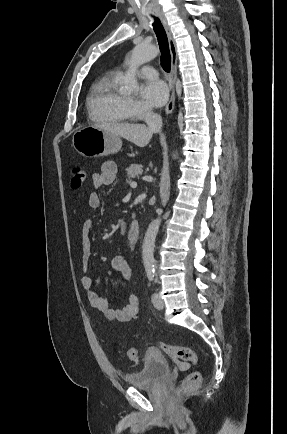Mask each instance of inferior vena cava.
Here are the masks:
<instances>
[{
    "label": "inferior vena cava",
    "instance_id": "obj_1",
    "mask_svg": "<svg viewBox=\"0 0 287 434\" xmlns=\"http://www.w3.org/2000/svg\"><path fill=\"white\" fill-rule=\"evenodd\" d=\"M145 122L147 123L148 127L159 131L162 127V118L159 114L153 113L150 110H146L144 114Z\"/></svg>",
    "mask_w": 287,
    "mask_h": 434
}]
</instances>
